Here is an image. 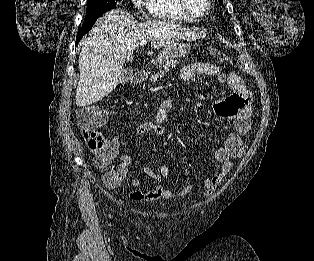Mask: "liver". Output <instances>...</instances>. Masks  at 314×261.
I'll return each instance as SVG.
<instances>
[{
	"label": "liver",
	"mask_w": 314,
	"mask_h": 261,
	"mask_svg": "<svg viewBox=\"0 0 314 261\" xmlns=\"http://www.w3.org/2000/svg\"><path fill=\"white\" fill-rule=\"evenodd\" d=\"M201 37V34L173 22L140 23L122 9L106 12L97 20L93 36L82 41L76 105L88 106L110 94L121 80L125 60L141 41L150 39L151 49L159 50L178 40Z\"/></svg>",
	"instance_id": "obj_1"
}]
</instances>
